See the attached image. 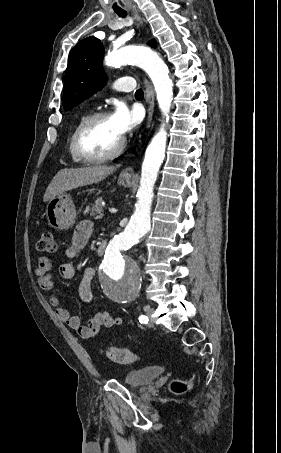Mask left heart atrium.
I'll return each mask as SVG.
<instances>
[{
	"mask_svg": "<svg viewBox=\"0 0 281 453\" xmlns=\"http://www.w3.org/2000/svg\"><path fill=\"white\" fill-rule=\"evenodd\" d=\"M110 120L118 133L123 136L140 124L142 115L138 107L130 110L125 103L119 102L114 107Z\"/></svg>",
	"mask_w": 281,
	"mask_h": 453,
	"instance_id": "39dd6f15",
	"label": "left heart atrium"
}]
</instances>
